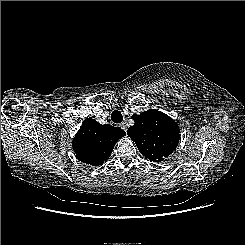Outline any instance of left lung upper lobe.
Returning <instances> with one entry per match:
<instances>
[{"instance_id": "1", "label": "left lung upper lobe", "mask_w": 245, "mask_h": 245, "mask_svg": "<svg viewBox=\"0 0 245 245\" xmlns=\"http://www.w3.org/2000/svg\"><path fill=\"white\" fill-rule=\"evenodd\" d=\"M135 124L127 134L136 143L140 153L154 162L163 161L178 145L177 123L161 111L150 109L140 115H133Z\"/></svg>"}]
</instances>
